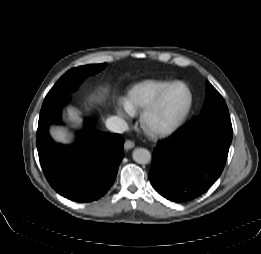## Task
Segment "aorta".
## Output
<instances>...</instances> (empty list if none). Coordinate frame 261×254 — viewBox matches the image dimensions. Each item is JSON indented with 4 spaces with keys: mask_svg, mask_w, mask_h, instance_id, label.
<instances>
[{
    "mask_svg": "<svg viewBox=\"0 0 261 254\" xmlns=\"http://www.w3.org/2000/svg\"><path fill=\"white\" fill-rule=\"evenodd\" d=\"M133 160L138 164H148L151 162V153L145 148H137L132 154Z\"/></svg>",
    "mask_w": 261,
    "mask_h": 254,
    "instance_id": "1",
    "label": "aorta"
}]
</instances>
